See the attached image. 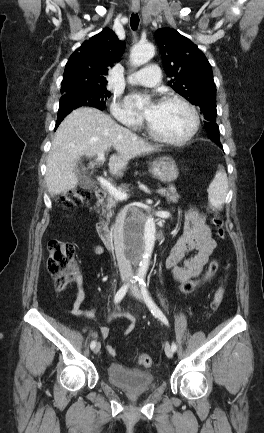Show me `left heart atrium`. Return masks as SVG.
I'll list each match as a JSON object with an SVG mask.
<instances>
[{
  "instance_id": "obj_1",
  "label": "left heart atrium",
  "mask_w": 264,
  "mask_h": 433,
  "mask_svg": "<svg viewBox=\"0 0 264 433\" xmlns=\"http://www.w3.org/2000/svg\"><path fill=\"white\" fill-rule=\"evenodd\" d=\"M128 104L131 108L143 115L147 120L151 119L158 104L156 103H144V98L137 95H132L128 98Z\"/></svg>"
}]
</instances>
